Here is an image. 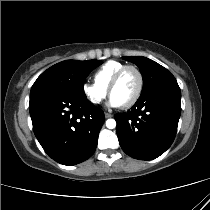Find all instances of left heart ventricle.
<instances>
[{
    "mask_svg": "<svg viewBox=\"0 0 210 210\" xmlns=\"http://www.w3.org/2000/svg\"><path fill=\"white\" fill-rule=\"evenodd\" d=\"M139 85V78L134 70H127L122 75L119 83L113 89L111 96L116 98L119 103L125 104L133 98Z\"/></svg>",
    "mask_w": 210,
    "mask_h": 210,
    "instance_id": "b2bd125f",
    "label": "left heart ventricle"
}]
</instances>
